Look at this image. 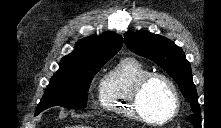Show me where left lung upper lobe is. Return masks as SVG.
<instances>
[{
  "label": "left lung upper lobe",
  "mask_w": 221,
  "mask_h": 128,
  "mask_svg": "<svg viewBox=\"0 0 221 128\" xmlns=\"http://www.w3.org/2000/svg\"><path fill=\"white\" fill-rule=\"evenodd\" d=\"M124 37L125 43L131 51L157 63L178 83L193 111L188 118L189 121L195 127H201V111L197 92L192 80L190 63L183 50L171 40L147 31L129 32Z\"/></svg>",
  "instance_id": "5c2ea615"
}]
</instances>
